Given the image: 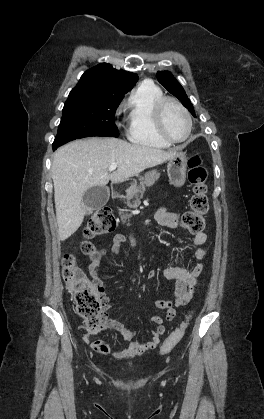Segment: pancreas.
Listing matches in <instances>:
<instances>
[{"instance_id": "cf45deb5", "label": "pancreas", "mask_w": 264, "mask_h": 419, "mask_svg": "<svg viewBox=\"0 0 264 419\" xmlns=\"http://www.w3.org/2000/svg\"><path fill=\"white\" fill-rule=\"evenodd\" d=\"M160 177V173L157 171H150L147 172L144 176L139 177L140 185L137 186L134 184L130 190L132 191V195L127 197V205L130 208H137L140 204V200L137 197V193H140V197L143 196V193L145 191V187L152 186ZM135 196L136 199L133 201V204L129 201L131 197ZM122 220H127L130 216L128 214H124L123 211L120 210L119 212Z\"/></svg>"}]
</instances>
